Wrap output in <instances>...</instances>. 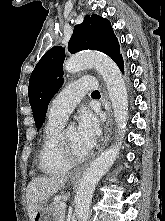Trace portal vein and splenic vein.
I'll return each instance as SVG.
<instances>
[{
	"mask_svg": "<svg viewBox=\"0 0 165 221\" xmlns=\"http://www.w3.org/2000/svg\"><path fill=\"white\" fill-rule=\"evenodd\" d=\"M61 206L65 209L66 203L65 202H61Z\"/></svg>",
	"mask_w": 165,
	"mask_h": 221,
	"instance_id": "portal-vein-and-splenic-vein-1",
	"label": "portal vein and splenic vein"
}]
</instances>
